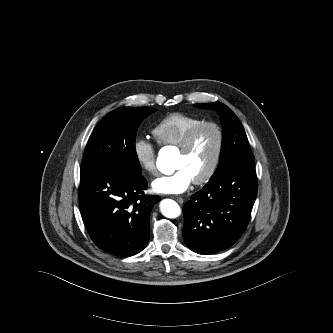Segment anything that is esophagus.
Instances as JSON below:
<instances>
[{
	"mask_svg": "<svg viewBox=\"0 0 333 333\" xmlns=\"http://www.w3.org/2000/svg\"><path fill=\"white\" fill-rule=\"evenodd\" d=\"M174 198H175V200H176L178 203H180V204H182V203L184 202V199L181 198V197H179V196H175Z\"/></svg>",
	"mask_w": 333,
	"mask_h": 333,
	"instance_id": "1",
	"label": "esophagus"
}]
</instances>
